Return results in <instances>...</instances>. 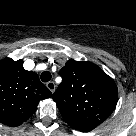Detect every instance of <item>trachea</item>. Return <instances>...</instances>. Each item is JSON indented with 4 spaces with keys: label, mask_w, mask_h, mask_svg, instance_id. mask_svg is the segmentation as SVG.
Wrapping results in <instances>:
<instances>
[{
    "label": "trachea",
    "mask_w": 136,
    "mask_h": 136,
    "mask_svg": "<svg viewBox=\"0 0 136 136\" xmlns=\"http://www.w3.org/2000/svg\"><path fill=\"white\" fill-rule=\"evenodd\" d=\"M41 80L44 83H47L48 81L51 80V73L49 71H45L41 74Z\"/></svg>",
    "instance_id": "trachea-1"
}]
</instances>
